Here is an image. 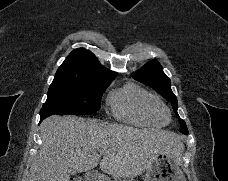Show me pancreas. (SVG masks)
Listing matches in <instances>:
<instances>
[{
  "label": "pancreas",
  "mask_w": 228,
  "mask_h": 181,
  "mask_svg": "<svg viewBox=\"0 0 228 181\" xmlns=\"http://www.w3.org/2000/svg\"><path fill=\"white\" fill-rule=\"evenodd\" d=\"M106 181H110V179H106Z\"/></svg>",
  "instance_id": "cf45deb5"
}]
</instances>
